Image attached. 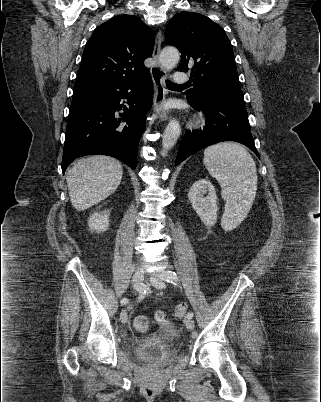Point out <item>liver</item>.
<instances>
[{
	"mask_svg": "<svg viewBox=\"0 0 321 402\" xmlns=\"http://www.w3.org/2000/svg\"><path fill=\"white\" fill-rule=\"evenodd\" d=\"M123 168L119 161L107 156L79 160L66 176L71 203L83 211L110 196L119 186Z\"/></svg>",
	"mask_w": 321,
	"mask_h": 402,
	"instance_id": "1",
	"label": "liver"
}]
</instances>
